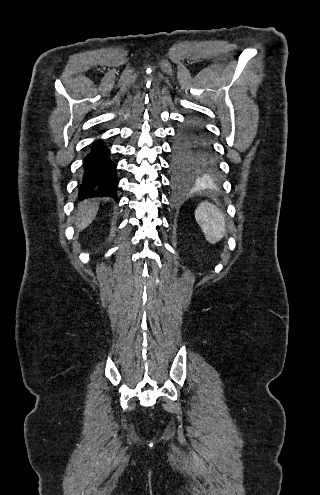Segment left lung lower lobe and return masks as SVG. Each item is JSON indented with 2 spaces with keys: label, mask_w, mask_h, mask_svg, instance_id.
Segmentation results:
<instances>
[{
  "label": "left lung lower lobe",
  "mask_w": 320,
  "mask_h": 495,
  "mask_svg": "<svg viewBox=\"0 0 320 495\" xmlns=\"http://www.w3.org/2000/svg\"><path fill=\"white\" fill-rule=\"evenodd\" d=\"M188 126L193 132L197 150L201 153L206 163L208 164V173H214L218 169V162L213 153V149L210 145L207 135L194 120H190Z\"/></svg>",
  "instance_id": "left-lung-lower-lobe-1"
}]
</instances>
